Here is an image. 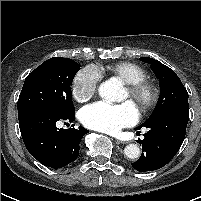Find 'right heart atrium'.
<instances>
[{
    "label": "right heart atrium",
    "mask_w": 201,
    "mask_h": 201,
    "mask_svg": "<svg viewBox=\"0 0 201 201\" xmlns=\"http://www.w3.org/2000/svg\"><path fill=\"white\" fill-rule=\"evenodd\" d=\"M100 79L101 74L94 66L84 67L73 79V97L79 102L90 100L97 92Z\"/></svg>",
    "instance_id": "right-heart-atrium-1"
}]
</instances>
